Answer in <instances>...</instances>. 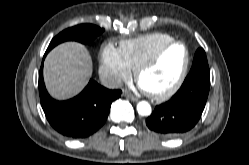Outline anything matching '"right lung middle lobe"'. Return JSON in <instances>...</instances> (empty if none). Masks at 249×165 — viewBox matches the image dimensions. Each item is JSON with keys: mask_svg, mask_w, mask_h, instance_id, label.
Returning <instances> with one entry per match:
<instances>
[{"mask_svg": "<svg viewBox=\"0 0 249 165\" xmlns=\"http://www.w3.org/2000/svg\"><path fill=\"white\" fill-rule=\"evenodd\" d=\"M104 29L91 24H81L71 28H68L50 42L47 51L49 52L52 48L61 42L74 40L84 44L90 43L94 38L100 35Z\"/></svg>", "mask_w": 249, "mask_h": 165, "instance_id": "1", "label": "right lung middle lobe"}]
</instances>
